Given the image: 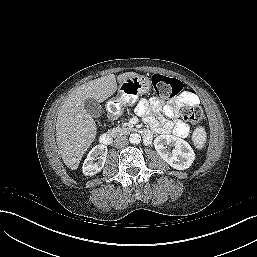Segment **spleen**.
<instances>
[{
    "label": "spleen",
    "mask_w": 257,
    "mask_h": 257,
    "mask_svg": "<svg viewBox=\"0 0 257 257\" xmlns=\"http://www.w3.org/2000/svg\"><path fill=\"white\" fill-rule=\"evenodd\" d=\"M192 141L198 149H201L204 147L206 143V132L204 127L199 126L194 130L192 135Z\"/></svg>",
    "instance_id": "spleen-1"
}]
</instances>
